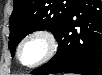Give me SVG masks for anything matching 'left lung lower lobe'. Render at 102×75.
I'll list each match as a JSON object with an SVG mask.
<instances>
[{"label": "left lung lower lobe", "mask_w": 102, "mask_h": 75, "mask_svg": "<svg viewBox=\"0 0 102 75\" xmlns=\"http://www.w3.org/2000/svg\"><path fill=\"white\" fill-rule=\"evenodd\" d=\"M55 38L57 53L31 74L102 75V1L81 0Z\"/></svg>", "instance_id": "0a47b994"}]
</instances>
